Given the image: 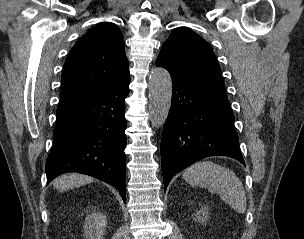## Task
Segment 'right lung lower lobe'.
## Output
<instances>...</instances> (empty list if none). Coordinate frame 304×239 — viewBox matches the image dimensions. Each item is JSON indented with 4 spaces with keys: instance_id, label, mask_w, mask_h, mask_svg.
Wrapping results in <instances>:
<instances>
[{
    "instance_id": "right-lung-lower-lobe-1",
    "label": "right lung lower lobe",
    "mask_w": 304,
    "mask_h": 239,
    "mask_svg": "<svg viewBox=\"0 0 304 239\" xmlns=\"http://www.w3.org/2000/svg\"><path fill=\"white\" fill-rule=\"evenodd\" d=\"M130 75L108 89L56 112L47 182L65 172L96 177L125 196V98Z\"/></svg>"
}]
</instances>
